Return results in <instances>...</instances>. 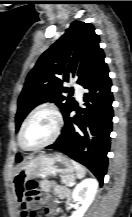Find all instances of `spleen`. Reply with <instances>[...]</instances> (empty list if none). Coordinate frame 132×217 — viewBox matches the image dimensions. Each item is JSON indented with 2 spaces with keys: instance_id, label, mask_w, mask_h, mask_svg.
<instances>
[{
  "instance_id": "1",
  "label": "spleen",
  "mask_w": 132,
  "mask_h": 217,
  "mask_svg": "<svg viewBox=\"0 0 132 217\" xmlns=\"http://www.w3.org/2000/svg\"><path fill=\"white\" fill-rule=\"evenodd\" d=\"M71 162L74 165L77 177L83 178L86 174V169L81 164H79L78 162H76L74 160H71Z\"/></svg>"
}]
</instances>
